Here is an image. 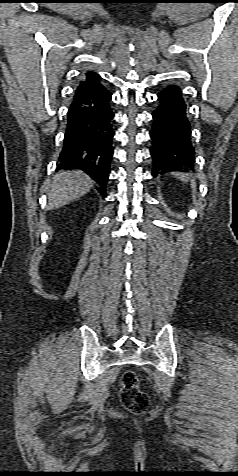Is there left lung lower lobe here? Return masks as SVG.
<instances>
[{"label": "left lung lower lobe", "mask_w": 238, "mask_h": 476, "mask_svg": "<svg viewBox=\"0 0 238 476\" xmlns=\"http://www.w3.org/2000/svg\"><path fill=\"white\" fill-rule=\"evenodd\" d=\"M152 117V174L156 176L174 168H192L195 150L191 143V124L179 87L168 86L159 93L158 106Z\"/></svg>", "instance_id": "obj_1"}]
</instances>
